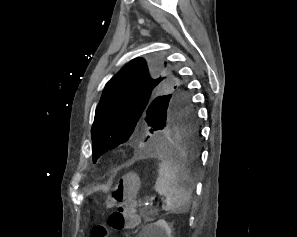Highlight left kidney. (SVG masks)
<instances>
[{
    "instance_id": "left-kidney-1",
    "label": "left kidney",
    "mask_w": 297,
    "mask_h": 237,
    "mask_svg": "<svg viewBox=\"0 0 297 237\" xmlns=\"http://www.w3.org/2000/svg\"><path fill=\"white\" fill-rule=\"evenodd\" d=\"M150 237H172V229L168 223L161 219L151 224Z\"/></svg>"
}]
</instances>
